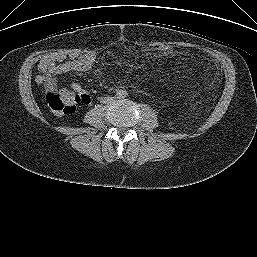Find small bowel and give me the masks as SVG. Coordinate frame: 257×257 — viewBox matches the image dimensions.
<instances>
[{
	"label": "small bowel",
	"instance_id": "obj_1",
	"mask_svg": "<svg viewBox=\"0 0 257 257\" xmlns=\"http://www.w3.org/2000/svg\"><path fill=\"white\" fill-rule=\"evenodd\" d=\"M95 62L96 56L94 54L67 56L63 53H49L44 55L38 63L39 74L36 81L39 84H44L48 90H56L59 76L70 72L89 71ZM70 87L73 91L83 94L86 103L90 101V95L82 85L73 82Z\"/></svg>",
	"mask_w": 257,
	"mask_h": 257
}]
</instances>
